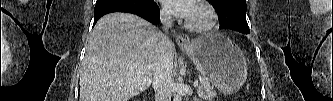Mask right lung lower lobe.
<instances>
[{"label": "right lung lower lobe", "instance_id": "1", "mask_svg": "<svg viewBox=\"0 0 333 101\" xmlns=\"http://www.w3.org/2000/svg\"><path fill=\"white\" fill-rule=\"evenodd\" d=\"M112 12L136 14L153 24L160 22L159 8L154 0H97L93 25L100 17Z\"/></svg>", "mask_w": 333, "mask_h": 101}]
</instances>
